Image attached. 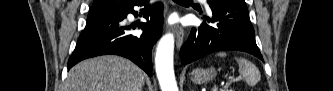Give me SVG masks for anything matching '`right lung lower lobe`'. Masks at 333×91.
Listing matches in <instances>:
<instances>
[{"label": "right lung lower lobe", "instance_id": "right-lung-lower-lobe-1", "mask_svg": "<svg viewBox=\"0 0 333 91\" xmlns=\"http://www.w3.org/2000/svg\"><path fill=\"white\" fill-rule=\"evenodd\" d=\"M147 4L148 0H139L122 10L91 13L68 61V70L81 60L114 54L130 59L151 76L152 47L162 34L163 15L161 4L152 8ZM136 5L145 6L141 11L147 22L138 26L143 30L141 36L128 34V30L136 26H127L123 23L127 14L137 15L133 9Z\"/></svg>", "mask_w": 333, "mask_h": 91}]
</instances>
